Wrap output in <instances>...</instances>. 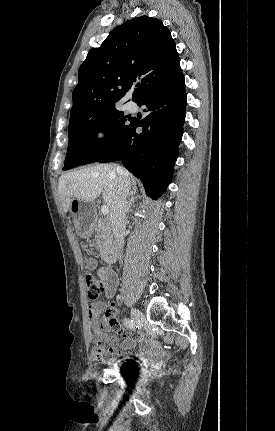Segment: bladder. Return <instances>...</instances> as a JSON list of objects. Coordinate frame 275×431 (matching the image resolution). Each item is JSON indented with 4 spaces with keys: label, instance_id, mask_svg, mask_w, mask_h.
I'll return each instance as SVG.
<instances>
[{
    "label": "bladder",
    "instance_id": "bladder-1",
    "mask_svg": "<svg viewBox=\"0 0 275 431\" xmlns=\"http://www.w3.org/2000/svg\"><path fill=\"white\" fill-rule=\"evenodd\" d=\"M127 365V361L125 360H117L114 362V365H111L110 367L117 372L118 374H120L121 376L125 375V370L124 367Z\"/></svg>",
    "mask_w": 275,
    "mask_h": 431
}]
</instances>
